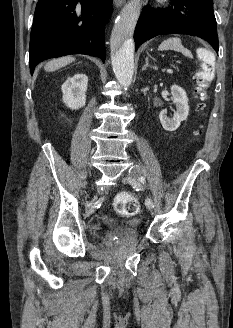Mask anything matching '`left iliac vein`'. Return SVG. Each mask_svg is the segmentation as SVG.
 Wrapping results in <instances>:
<instances>
[{"label": "left iliac vein", "instance_id": "left-iliac-vein-1", "mask_svg": "<svg viewBox=\"0 0 233 328\" xmlns=\"http://www.w3.org/2000/svg\"><path fill=\"white\" fill-rule=\"evenodd\" d=\"M140 175H141L140 169L137 166H134L132 167V169H130L129 174L123 178V182L134 185L138 181ZM147 207L151 212V214H154L153 207H149V206Z\"/></svg>", "mask_w": 233, "mask_h": 328}]
</instances>
